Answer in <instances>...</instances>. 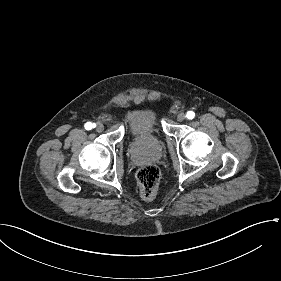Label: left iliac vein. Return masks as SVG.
I'll return each instance as SVG.
<instances>
[{
    "instance_id": "4c4485c4",
    "label": "left iliac vein",
    "mask_w": 281,
    "mask_h": 281,
    "mask_svg": "<svg viewBox=\"0 0 281 281\" xmlns=\"http://www.w3.org/2000/svg\"><path fill=\"white\" fill-rule=\"evenodd\" d=\"M186 119V115L184 113H179L177 115V121L182 122Z\"/></svg>"
}]
</instances>
